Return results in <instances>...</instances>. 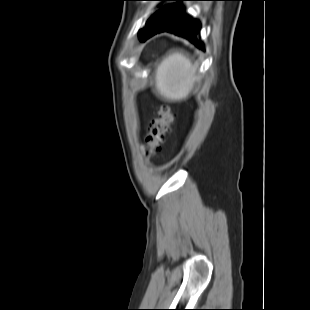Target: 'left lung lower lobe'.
Masks as SVG:
<instances>
[{"label":"left lung lower lobe","instance_id":"0a47b994","mask_svg":"<svg viewBox=\"0 0 310 310\" xmlns=\"http://www.w3.org/2000/svg\"><path fill=\"white\" fill-rule=\"evenodd\" d=\"M198 30H199V24L196 21L184 16L181 12L174 19V21L172 23H170L169 25L155 31L154 33L149 35L147 38H149V37H151V36H153L159 32L168 31V32L177 34L179 36L186 37L187 39H189L190 41L195 43L198 47L203 48L202 44L197 39Z\"/></svg>","mask_w":310,"mask_h":310}]
</instances>
